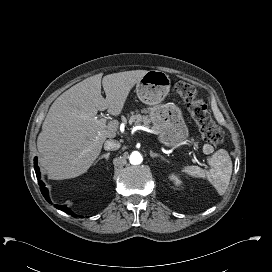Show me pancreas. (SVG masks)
I'll return each instance as SVG.
<instances>
[{"mask_svg":"<svg viewBox=\"0 0 272 272\" xmlns=\"http://www.w3.org/2000/svg\"><path fill=\"white\" fill-rule=\"evenodd\" d=\"M141 113H147V110H142ZM129 124H134V125H142L144 127H149L150 120L148 116L146 115H141L136 111V113L132 112L131 115L129 116Z\"/></svg>","mask_w":272,"mask_h":272,"instance_id":"obj_1","label":"pancreas"}]
</instances>
